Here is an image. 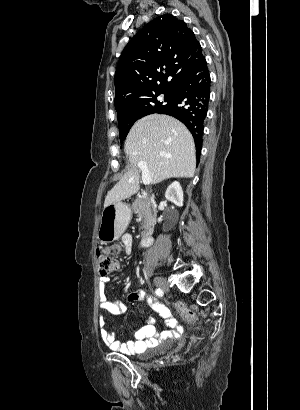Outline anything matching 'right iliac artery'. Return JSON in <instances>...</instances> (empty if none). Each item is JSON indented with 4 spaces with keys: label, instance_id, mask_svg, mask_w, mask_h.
<instances>
[{
    "label": "right iliac artery",
    "instance_id": "right-iliac-artery-1",
    "mask_svg": "<svg viewBox=\"0 0 300 410\" xmlns=\"http://www.w3.org/2000/svg\"><path fill=\"white\" fill-rule=\"evenodd\" d=\"M155 294H156L157 296H162V295H163V290H161L160 288H158V289L155 290Z\"/></svg>",
    "mask_w": 300,
    "mask_h": 410
}]
</instances>
